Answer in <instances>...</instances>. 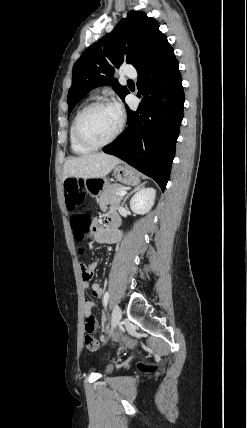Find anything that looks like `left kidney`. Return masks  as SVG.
<instances>
[{
    "instance_id": "obj_1",
    "label": "left kidney",
    "mask_w": 247,
    "mask_h": 428,
    "mask_svg": "<svg viewBox=\"0 0 247 428\" xmlns=\"http://www.w3.org/2000/svg\"><path fill=\"white\" fill-rule=\"evenodd\" d=\"M156 190L154 188L140 189L130 201V208L134 213H148L154 205Z\"/></svg>"
}]
</instances>
